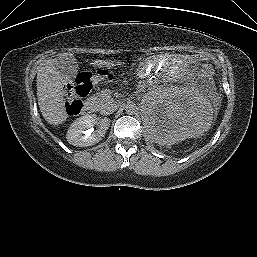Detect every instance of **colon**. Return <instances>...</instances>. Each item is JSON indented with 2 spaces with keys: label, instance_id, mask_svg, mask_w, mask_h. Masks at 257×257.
<instances>
[{
  "label": "colon",
  "instance_id": "5ec220e1",
  "mask_svg": "<svg viewBox=\"0 0 257 257\" xmlns=\"http://www.w3.org/2000/svg\"><path fill=\"white\" fill-rule=\"evenodd\" d=\"M195 59L199 62H206L208 56L204 53H196ZM111 74L105 70L98 71L95 74L84 71L76 78V86L70 91L67 101L66 109L70 114H76L82 104V99L88 96L95 88V86L102 81L110 79Z\"/></svg>",
  "mask_w": 257,
  "mask_h": 257
}]
</instances>
